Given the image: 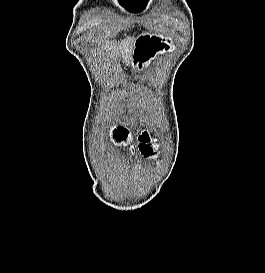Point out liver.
Masks as SVG:
<instances>
[{
  "instance_id": "6515ba94",
  "label": "liver",
  "mask_w": 265,
  "mask_h": 273,
  "mask_svg": "<svg viewBox=\"0 0 265 273\" xmlns=\"http://www.w3.org/2000/svg\"><path fill=\"white\" fill-rule=\"evenodd\" d=\"M133 43L134 38L128 37L126 40L122 41L117 46H111V49L115 50V54H117L120 51L122 53L124 61L130 63L133 53Z\"/></svg>"
}]
</instances>
